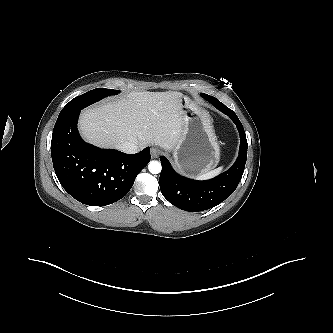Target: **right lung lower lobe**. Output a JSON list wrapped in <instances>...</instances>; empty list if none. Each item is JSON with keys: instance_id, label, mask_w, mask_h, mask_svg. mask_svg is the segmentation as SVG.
<instances>
[{"instance_id": "98d812e1", "label": "right lung lower lobe", "mask_w": 333, "mask_h": 333, "mask_svg": "<svg viewBox=\"0 0 333 333\" xmlns=\"http://www.w3.org/2000/svg\"><path fill=\"white\" fill-rule=\"evenodd\" d=\"M79 114L63 110L55 123L51 154L56 176L81 203L112 204L129 192L138 173L148 164L150 148L131 155L88 144L77 130Z\"/></svg>"}]
</instances>
